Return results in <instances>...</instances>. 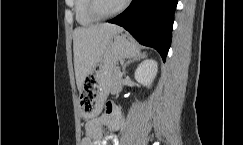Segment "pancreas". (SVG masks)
Masks as SVG:
<instances>
[{
	"label": "pancreas",
	"mask_w": 243,
	"mask_h": 145,
	"mask_svg": "<svg viewBox=\"0 0 243 145\" xmlns=\"http://www.w3.org/2000/svg\"><path fill=\"white\" fill-rule=\"evenodd\" d=\"M122 77L119 76V71L114 70L112 72V83L115 89H119L121 87Z\"/></svg>",
	"instance_id": "obj_1"
}]
</instances>
